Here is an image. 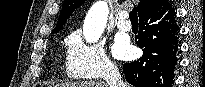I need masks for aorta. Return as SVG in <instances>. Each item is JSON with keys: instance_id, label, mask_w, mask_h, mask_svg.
<instances>
[{"instance_id": "1", "label": "aorta", "mask_w": 205, "mask_h": 87, "mask_svg": "<svg viewBox=\"0 0 205 87\" xmlns=\"http://www.w3.org/2000/svg\"><path fill=\"white\" fill-rule=\"evenodd\" d=\"M109 8L104 0H99L88 11L83 25V35L88 43L97 42L106 27Z\"/></svg>"}]
</instances>
